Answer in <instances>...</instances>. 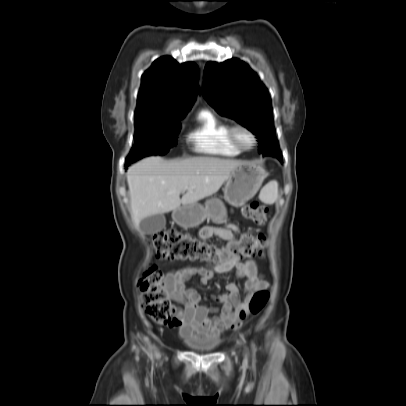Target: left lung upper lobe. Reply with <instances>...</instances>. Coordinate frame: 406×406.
Wrapping results in <instances>:
<instances>
[{
	"instance_id": "1",
	"label": "left lung upper lobe",
	"mask_w": 406,
	"mask_h": 406,
	"mask_svg": "<svg viewBox=\"0 0 406 406\" xmlns=\"http://www.w3.org/2000/svg\"><path fill=\"white\" fill-rule=\"evenodd\" d=\"M203 96L220 114L245 126L260 142L259 153L282 158L273 128L271 99L257 74L238 59L208 62Z\"/></svg>"
}]
</instances>
